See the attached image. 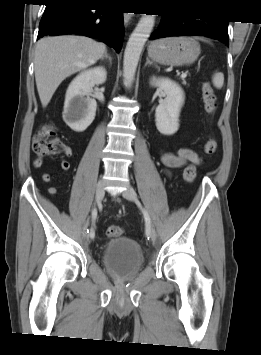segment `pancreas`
<instances>
[{
	"instance_id": "cf45deb5",
	"label": "pancreas",
	"mask_w": 261,
	"mask_h": 355,
	"mask_svg": "<svg viewBox=\"0 0 261 355\" xmlns=\"http://www.w3.org/2000/svg\"><path fill=\"white\" fill-rule=\"evenodd\" d=\"M184 85H186V81L185 80H183V82H182Z\"/></svg>"
}]
</instances>
